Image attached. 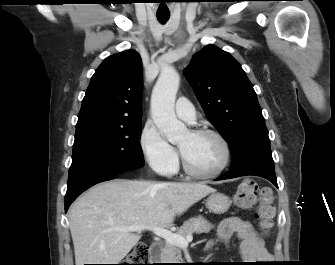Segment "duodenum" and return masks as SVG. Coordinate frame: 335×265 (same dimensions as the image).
<instances>
[{
    "label": "duodenum",
    "instance_id": "410a0bca",
    "mask_svg": "<svg viewBox=\"0 0 335 265\" xmlns=\"http://www.w3.org/2000/svg\"><path fill=\"white\" fill-rule=\"evenodd\" d=\"M160 250H161V245L158 242H155L150 246L151 262L158 261Z\"/></svg>",
    "mask_w": 335,
    "mask_h": 265
}]
</instances>
